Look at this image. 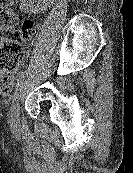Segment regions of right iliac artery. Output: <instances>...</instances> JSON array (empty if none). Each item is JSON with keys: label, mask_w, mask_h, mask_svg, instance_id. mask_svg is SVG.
I'll list each match as a JSON object with an SVG mask.
<instances>
[{"label": "right iliac artery", "mask_w": 133, "mask_h": 173, "mask_svg": "<svg viewBox=\"0 0 133 173\" xmlns=\"http://www.w3.org/2000/svg\"><path fill=\"white\" fill-rule=\"evenodd\" d=\"M25 76H26V71L20 72V74L18 75V78H17V87L19 86L20 82H22V80H24Z\"/></svg>", "instance_id": "1"}]
</instances>
